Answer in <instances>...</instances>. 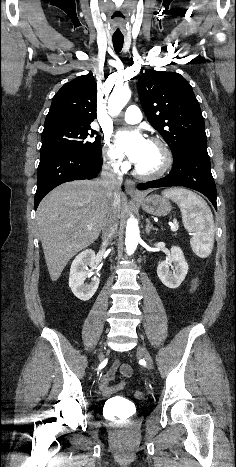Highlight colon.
Listing matches in <instances>:
<instances>
[{"instance_id":"5ec220e1","label":"colon","mask_w":236,"mask_h":467,"mask_svg":"<svg viewBox=\"0 0 236 467\" xmlns=\"http://www.w3.org/2000/svg\"><path fill=\"white\" fill-rule=\"evenodd\" d=\"M197 283H198V276H195V278L193 279V287L194 288L196 287ZM135 397L137 399H142L144 397V394H143L142 391H136L135 392Z\"/></svg>"}]
</instances>
